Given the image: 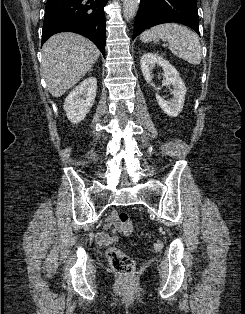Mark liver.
<instances>
[{"mask_svg":"<svg viewBox=\"0 0 245 314\" xmlns=\"http://www.w3.org/2000/svg\"><path fill=\"white\" fill-rule=\"evenodd\" d=\"M100 56L99 49L82 35H53L42 47L41 72L53 97H61L78 83Z\"/></svg>","mask_w":245,"mask_h":314,"instance_id":"liver-1","label":"liver"}]
</instances>
